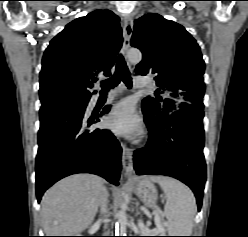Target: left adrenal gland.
<instances>
[{
  "instance_id": "left-adrenal-gland-1",
  "label": "left adrenal gland",
  "mask_w": 248,
  "mask_h": 237,
  "mask_svg": "<svg viewBox=\"0 0 248 237\" xmlns=\"http://www.w3.org/2000/svg\"><path fill=\"white\" fill-rule=\"evenodd\" d=\"M139 214H140V213H139L138 204H137L136 216H138Z\"/></svg>"
}]
</instances>
